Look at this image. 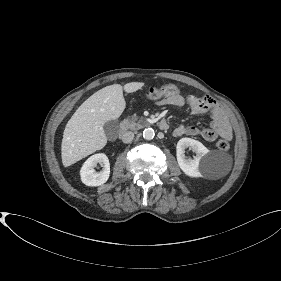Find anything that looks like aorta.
Wrapping results in <instances>:
<instances>
[{
	"mask_svg": "<svg viewBox=\"0 0 281 281\" xmlns=\"http://www.w3.org/2000/svg\"><path fill=\"white\" fill-rule=\"evenodd\" d=\"M154 136H155V132L152 128H146L143 131V137L146 140H152L154 138Z\"/></svg>",
	"mask_w": 281,
	"mask_h": 281,
	"instance_id": "aorta-1",
	"label": "aorta"
}]
</instances>
